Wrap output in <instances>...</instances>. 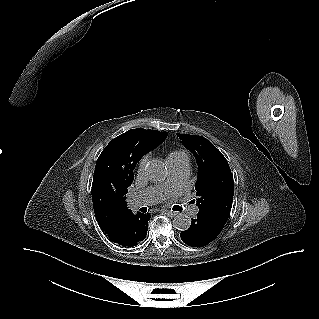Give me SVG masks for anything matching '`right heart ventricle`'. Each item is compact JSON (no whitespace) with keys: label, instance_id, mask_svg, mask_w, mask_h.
<instances>
[{"label":"right heart ventricle","instance_id":"1","mask_svg":"<svg viewBox=\"0 0 319 319\" xmlns=\"http://www.w3.org/2000/svg\"><path fill=\"white\" fill-rule=\"evenodd\" d=\"M184 157H187V154L182 150H173L167 156L168 163L180 160Z\"/></svg>","mask_w":319,"mask_h":319}]
</instances>
